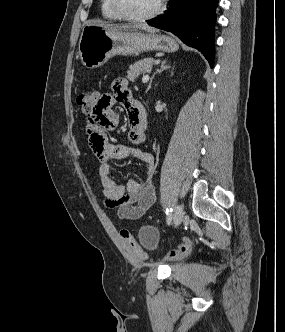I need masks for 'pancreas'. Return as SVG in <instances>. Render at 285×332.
<instances>
[{"instance_id":"pancreas-1","label":"pancreas","mask_w":285,"mask_h":332,"mask_svg":"<svg viewBox=\"0 0 285 332\" xmlns=\"http://www.w3.org/2000/svg\"><path fill=\"white\" fill-rule=\"evenodd\" d=\"M155 60L153 58H146L135 62L133 65L129 66L127 71V78L134 82L141 74L149 72L154 64Z\"/></svg>"}]
</instances>
